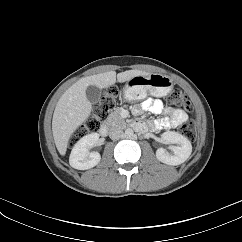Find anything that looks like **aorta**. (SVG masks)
Segmentation results:
<instances>
[{
    "label": "aorta",
    "mask_w": 242,
    "mask_h": 242,
    "mask_svg": "<svg viewBox=\"0 0 242 242\" xmlns=\"http://www.w3.org/2000/svg\"><path fill=\"white\" fill-rule=\"evenodd\" d=\"M124 136L126 138H132L134 136V131L131 128L125 130Z\"/></svg>",
    "instance_id": "1"
}]
</instances>
